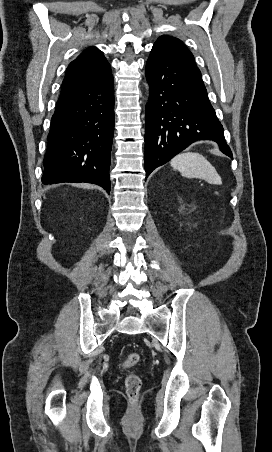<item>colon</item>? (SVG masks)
Segmentation results:
<instances>
[{
	"instance_id": "obj_1",
	"label": "colon",
	"mask_w": 272,
	"mask_h": 452,
	"mask_svg": "<svg viewBox=\"0 0 272 452\" xmlns=\"http://www.w3.org/2000/svg\"><path fill=\"white\" fill-rule=\"evenodd\" d=\"M140 356L138 353H129L122 361L124 368H130L138 364ZM142 386V380L139 375L130 373L125 380L126 394L132 401H136Z\"/></svg>"
}]
</instances>
